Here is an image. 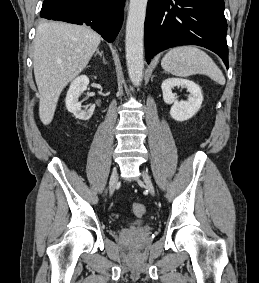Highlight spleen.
<instances>
[{
    "label": "spleen",
    "instance_id": "1",
    "mask_svg": "<svg viewBox=\"0 0 259 283\" xmlns=\"http://www.w3.org/2000/svg\"><path fill=\"white\" fill-rule=\"evenodd\" d=\"M162 68L172 75L189 77L204 74L220 85L225 84L222 71L204 51L194 46H180L171 49L161 61Z\"/></svg>",
    "mask_w": 259,
    "mask_h": 283
}]
</instances>
